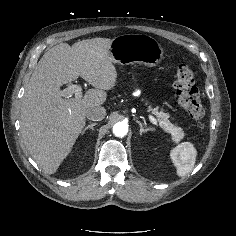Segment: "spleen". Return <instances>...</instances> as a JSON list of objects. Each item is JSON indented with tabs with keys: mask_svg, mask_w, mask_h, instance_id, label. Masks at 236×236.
<instances>
[{
	"mask_svg": "<svg viewBox=\"0 0 236 236\" xmlns=\"http://www.w3.org/2000/svg\"><path fill=\"white\" fill-rule=\"evenodd\" d=\"M196 156L197 151L189 142H183L173 149L172 157L178 176L183 177L194 168Z\"/></svg>",
	"mask_w": 236,
	"mask_h": 236,
	"instance_id": "3e777b00",
	"label": "spleen"
}]
</instances>
